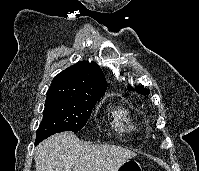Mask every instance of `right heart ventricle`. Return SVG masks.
I'll return each instance as SVG.
<instances>
[{
  "label": "right heart ventricle",
  "instance_id": "right-heart-ventricle-1",
  "mask_svg": "<svg viewBox=\"0 0 199 171\" xmlns=\"http://www.w3.org/2000/svg\"><path fill=\"white\" fill-rule=\"evenodd\" d=\"M112 118L114 124L121 130H133L137 126L134 116L126 108L115 107L112 110Z\"/></svg>",
  "mask_w": 199,
  "mask_h": 171
}]
</instances>
